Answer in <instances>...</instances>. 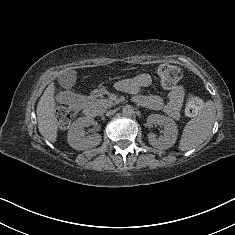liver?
<instances>
[{
  "mask_svg": "<svg viewBox=\"0 0 235 235\" xmlns=\"http://www.w3.org/2000/svg\"><path fill=\"white\" fill-rule=\"evenodd\" d=\"M54 106V87L50 85L40 97L36 108L38 129L41 135L48 140H52L56 137V128L51 124V120L54 117Z\"/></svg>",
  "mask_w": 235,
  "mask_h": 235,
  "instance_id": "liver-1",
  "label": "liver"
}]
</instances>
